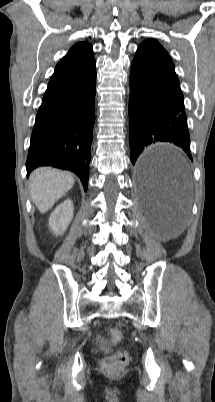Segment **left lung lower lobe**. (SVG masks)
Here are the masks:
<instances>
[{
	"instance_id": "obj_1",
	"label": "left lung lower lobe",
	"mask_w": 215,
	"mask_h": 402,
	"mask_svg": "<svg viewBox=\"0 0 215 402\" xmlns=\"http://www.w3.org/2000/svg\"><path fill=\"white\" fill-rule=\"evenodd\" d=\"M130 158L134 165L144 149L156 143L180 147L192 160L183 94L176 74L134 58L129 98ZM138 174L153 186L168 209L178 203L179 194L151 170Z\"/></svg>"
}]
</instances>
